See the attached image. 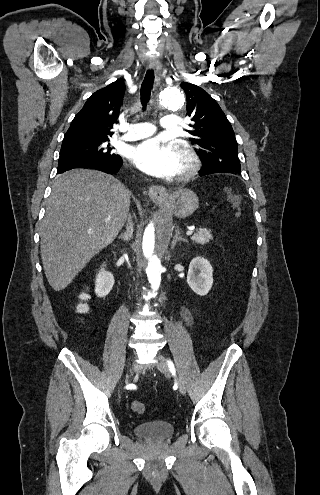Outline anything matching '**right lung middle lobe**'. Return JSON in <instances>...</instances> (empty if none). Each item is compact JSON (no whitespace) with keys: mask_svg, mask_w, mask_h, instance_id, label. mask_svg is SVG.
<instances>
[{"mask_svg":"<svg viewBox=\"0 0 320 495\" xmlns=\"http://www.w3.org/2000/svg\"><path fill=\"white\" fill-rule=\"evenodd\" d=\"M109 138L63 140L58 165L69 161L114 160L119 155L111 153Z\"/></svg>","mask_w":320,"mask_h":495,"instance_id":"right-lung-middle-lobe-1","label":"right lung middle lobe"}]
</instances>
